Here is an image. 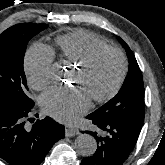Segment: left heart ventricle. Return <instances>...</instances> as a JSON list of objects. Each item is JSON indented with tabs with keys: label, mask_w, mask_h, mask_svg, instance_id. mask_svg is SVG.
<instances>
[{
	"label": "left heart ventricle",
	"mask_w": 165,
	"mask_h": 165,
	"mask_svg": "<svg viewBox=\"0 0 165 165\" xmlns=\"http://www.w3.org/2000/svg\"><path fill=\"white\" fill-rule=\"evenodd\" d=\"M121 63L117 54L105 51L98 55L86 70L76 69L72 82L90 99L108 92L116 82Z\"/></svg>",
	"instance_id": "left-heart-ventricle-1"
}]
</instances>
